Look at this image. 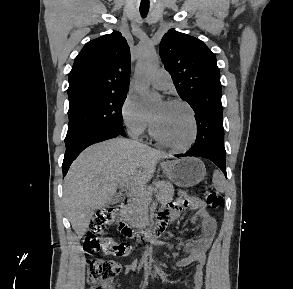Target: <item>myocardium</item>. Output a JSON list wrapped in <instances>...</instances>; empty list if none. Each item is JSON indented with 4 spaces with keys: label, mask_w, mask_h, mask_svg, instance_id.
Wrapping results in <instances>:
<instances>
[{
    "label": "myocardium",
    "mask_w": 293,
    "mask_h": 289,
    "mask_svg": "<svg viewBox=\"0 0 293 289\" xmlns=\"http://www.w3.org/2000/svg\"><path fill=\"white\" fill-rule=\"evenodd\" d=\"M168 103L182 105L189 111L190 116H191V120H192V135H191L190 140L184 145H176V144H172V143L165 141L158 134L157 128H156V125H155V122L153 119L151 121V135L160 145H162L164 147H167V148L175 150V151H187L195 145L197 138H198V122H197L195 111L188 102H186L182 99H171L168 101Z\"/></svg>",
    "instance_id": "obj_1"
}]
</instances>
